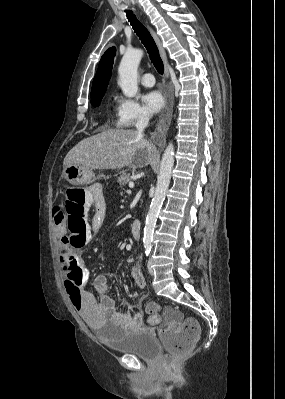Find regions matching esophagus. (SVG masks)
I'll list each match as a JSON object with an SVG mask.
<instances>
[{"mask_svg": "<svg viewBox=\"0 0 285 399\" xmlns=\"http://www.w3.org/2000/svg\"><path fill=\"white\" fill-rule=\"evenodd\" d=\"M149 30H150V32H151V34H152V36H153V38H154V40H155V42L157 44V47L159 49V53H160L161 59H162L163 64H164L165 77L168 80L169 79V67H168V61H167V56H166L165 49H164V47L162 45V42H161L160 38L155 33V31L151 27H149ZM172 112H173L172 107H169L168 108V115H167V126L170 125Z\"/></svg>", "mask_w": 285, "mask_h": 399, "instance_id": "obj_1", "label": "esophagus"}]
</instances>
